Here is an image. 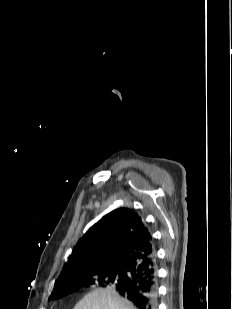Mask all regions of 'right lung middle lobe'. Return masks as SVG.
Returning a JSON list of instances; mask_svg holds the SVG:
<instances>
[{
	"mask_svg": "<svg viewBox=\"0 0 232 309\" xmlns=\"http://www.w3.org/2000/svg\"><path fill=\"white\" fill-rule=\"evenodd\" d=\"M129 280L125 271L118 270H93L85 272L74 279L67 280L59 285L55 284L51 299H58L68 295L80 287L89 285L112 286L116 288Z\"/></svg>",
	"mask_w": 232,
	"mask_h": 309,
	"instance_id": "1",
	"label": "right lung middle lobe"
}]
</instances>
